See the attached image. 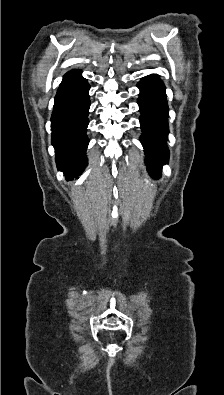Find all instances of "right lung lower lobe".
<instances>
[{"instance_id":"1","label":"right lung lower lobe","mask_w":224,"mask_h":395,"mask_svg":"<svg viewBox=\"0 0 224 395\" xmlns=\"http://www.w3.org/2000/svg\"><path fill=\"white\" fill-rule=\"evenodd\" d=\"M78 70L64 75L55 96L51 116L52 145L56 151V162L67 180L78 177L87 165L89 84Z\"/></svg>"}]
</instances>
